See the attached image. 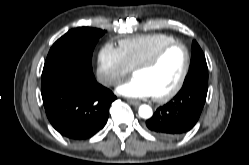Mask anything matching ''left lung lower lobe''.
Segmentation results:
<instances>
[{
  "instance_id": "0a47b994",
  "label": "left lung lower lobe",
  "mask_w": 249,
  "mask_h": 165,
  "mask_svg": "<svg viewBox=\"0 0 249 165\" xmlns=\"http://www.w3.org/2000/svg\"><path fill=\"white\" fill-rule=\"evenodd\" d=\"M208 80L194 79L183 84L177 95L146 121L147 128L163 139H174L191 130L205 104Z\"/></svg>"
}]
</instances>
